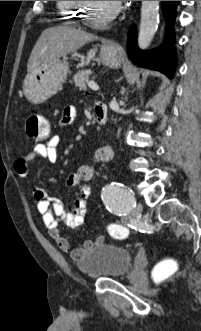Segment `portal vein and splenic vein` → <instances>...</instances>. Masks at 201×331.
<instances>
[{
    "label": "portal vein and splenic vein",
    "mask_w": 201,
    "mask_h": 331,
    "mask_svg": "<svg viewBox=\"0 0 201 331\" xmlns=\"http://www.w3.org/2000/svg\"><path fill=\"white\" fill-rule=\"evenodd\" d=\"M88 87L95 91L99 90V86L93 81L88 82Z\"/></svg>",
    "instance_id": "obj_1"
}]
</instances>
